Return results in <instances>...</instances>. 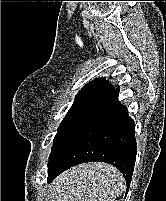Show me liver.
<instances>
[{"label":"liver","instance_id":"obj_1","mask_svg":"<svg viewBox=\"0 0 166 201\" xmlns=\"http://www.w3.org/2000/svg\"><path fill=\"white\" fill-rule=\"evenodd\" d=\"M52 187V201H115L125 189V179L114 166L90 162L63 172Z\"/></svg>","mask_w":166,"mask_h":201}]
</instances>
